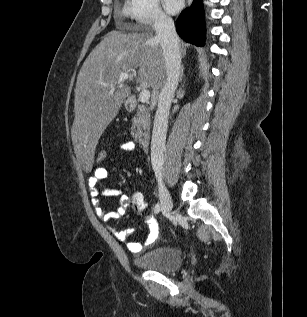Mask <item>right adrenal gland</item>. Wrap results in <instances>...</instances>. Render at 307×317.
<instances>
[{"label":"right adrenal gland","instance_id":"1","mask_svg":"<svg viewBox=\"0 0 307 317\" xmlns=\"http://www.w3.org/2000/svg\"><path fill=\"white\" fill-rule=\"evenodd\" d=\"M183 71H184V68L182 67V69H181V79L183 77Z\"/></svg>","mask_w":307,"mask_h":317}]
</instances>
